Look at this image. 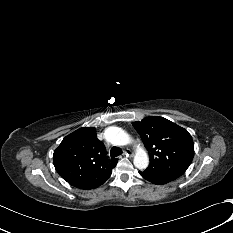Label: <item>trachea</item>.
Wrapping results in <instances>:
<instances>
[{
	"instance_id": "obj_1",
	"label": "trachea",
	"mask_w": 233,
	"mask_h": 233,
	"mask_svg": "<svg viewBox=\"0 0 233 233\" xmlns=\"http://www.w3.org/2000/svg\"><path fill=\"white\" fill-rule=\"evenodd\" d=\"M123 152H122V149L119 148V147H112L111 150H110V155L112 158L114 157H117L119 155H121Z\"/></svg>"
}]
</instances>
